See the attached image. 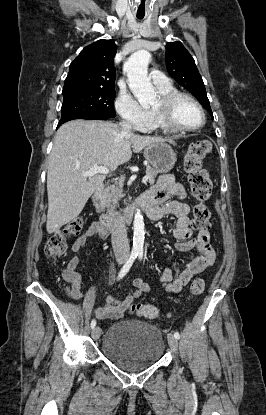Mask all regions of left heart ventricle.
<instances>
[{
  "label": "left heart ventricle",
  "mask_w": 266,
  "mask_h": 415,
  "mask_svg": "<svg viewBox=\"0 0 266 415\" xmlns=\"http://www.w3.org/2000/svg\"><path fill=\"white\" fill-rule=\"evenodd\" d=\"M158 101L154 104L156 106ZM175 121L185 127L197 126L201 123L202 117L198 108L188 99H179L173 111Z\"/></svg>",
  "instance_id": "obj_1"
}]
</instances>
